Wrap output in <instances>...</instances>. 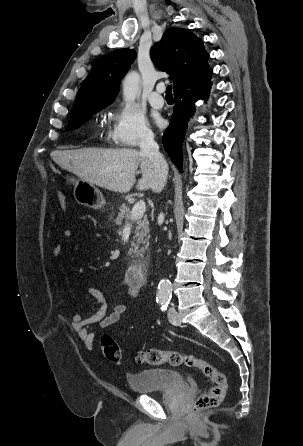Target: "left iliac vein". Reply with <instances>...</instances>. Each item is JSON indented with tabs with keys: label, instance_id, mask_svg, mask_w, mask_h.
<instances>
[{
	"label": "left iliac vein",
	"instance_id": "left-iliac-vein-1",
	"mask_svg": "<svg viewBox=\"0 0 303 446\" xmlns=\"http://www.w3.org/2000/svg\"><path fill=\"white\" fill-rule=\"evenodd\" d=\"M168 319L173 325L181 324V318L175 308H169Z\"/></svg>",
	"mask_w": 303,
	"mask_h": 446
}]
</instances>
